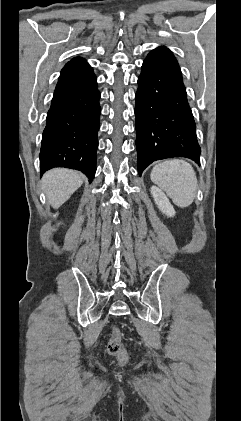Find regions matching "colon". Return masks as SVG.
<instances>
[{
    "label": "colon",
    "mask_w": 241,
    "mask_h": 421,
    "mask_svg": "<svg viewBox=\"0 0 241 421\" xmlns=\"http://www.w3.org/2000/svg\"><path fill=\"white\" fill-rule=\"evenodd\" d=\"M108 353L124 362L127 358L126 350L121 340V332L118 326L113 327L110 340L107 345Z\"/></svg>",
    "instance_id": "1"
}]
</instances>
